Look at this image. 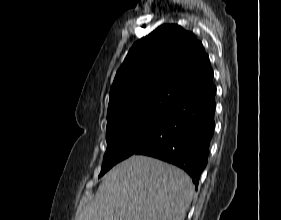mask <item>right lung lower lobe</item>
Returning a JSON list of instances; mask_svg holds the SVG:
<instances>
[{"label": "right lung lower lobe", "instance_id": "1", "mask_svg": "<svg viewBox=\"0 0 281 220\" xmlns=\"http://www.w3.org/2000/svg\"><path fill=\"white\" fill-rule=\"evenodd\" d=\"M216 87L179 101L162 126L134 154L172 163L192 178L196 188L205 169L215 121Z\"/></svg>", "mask_w": 281, "mask_h": 220}]
</instances>
